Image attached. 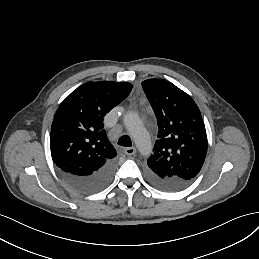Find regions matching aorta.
I'll return each instance as SVG.
<instances>
[{
	"instance_id": "aorta-1",
	"label": "aorta",
	"mask_w": 259,
	"mask_h": 259,
	"mask_svg": "<svg viewBox=\"0 0 259 259\" xmlns=\"http://www.w3.org/2000/svg\"><path fill=\"white\" fill-rule=\"evenodd\" d=\"M124 123L129 130L137 148L142 154L151 152V142L137 115L130 113L125 116Z\"/></svg>"
}]
</instances>
